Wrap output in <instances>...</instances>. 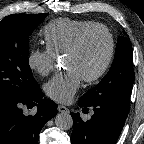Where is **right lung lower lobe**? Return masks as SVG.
Returning <instances> with one entry per match:
<instances>
[{"label":"right lung lower lobe","instance_id":"98d812e1","mask_svg":"<svg viewBox=\"0 0 144 144\" xmlns=\"http://www.w3.org/2000/svg\"><path fill=\"white\" fill-rule=\"evenodd\" d=\"M42 98L39 89L23 99L0 102V144H38L40 130L57 113L55 102ZM35 105L34 116L23 112L25 106Z\"/></svg>","mask_w":144,"mask_h":144}]
</instances>
